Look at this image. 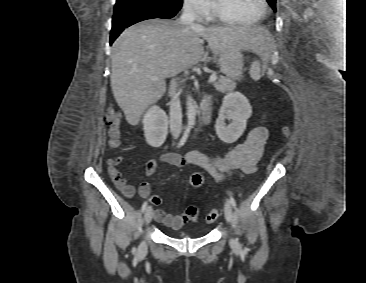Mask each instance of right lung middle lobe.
<instances>
[{"label": "right lung middle lobe", "mask_w": 366, "mask_h": 283, "mask_svg": "<svg viewBox=\"0 0 366 283\" xmlns=\"http://www.w3.org/2000/svg\"><path fill=\"white\" fill-rule=\"evenodd\" d=\"M125 2H136V3H147V2H155L162 5L165 9L169 11L178 12L182 6V0H117L116 3H125Z\"/></svg>", "instance_id": "dd1d6c3e"}]
</instances>
